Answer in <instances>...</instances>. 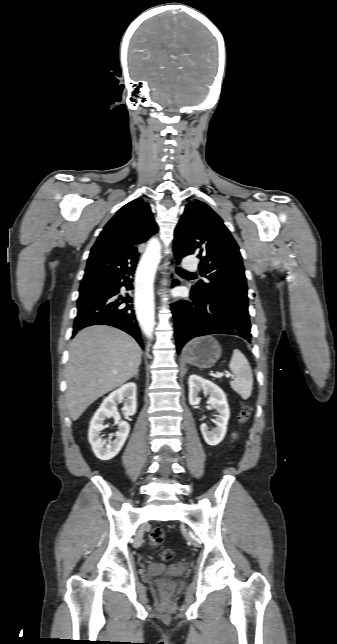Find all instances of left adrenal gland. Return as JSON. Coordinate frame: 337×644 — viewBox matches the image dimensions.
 <instances>
[{
  "mask_svg": "<svg viewBox=\"0 0 337 644\" xmlns=\"http://www.w3.org/2000/svg\"><path fill=\"white\" fill-rule=\"evenodd\" d=\"M187 372V369L184 370V374Z\"/></svg>",
  "mask_w": 337,
  "mask_h": 644,
  "instance_id": "a2214340",
  "label": "left adrenal gland"
}]
</instances>
